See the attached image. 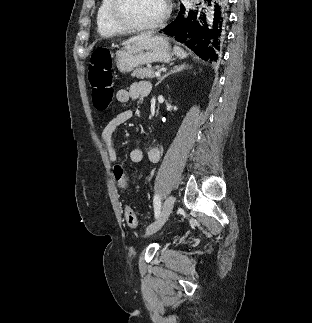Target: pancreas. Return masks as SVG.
I'll return each mask as SVG.
<instances>
[{
	"mask_svg": "<svg viewBox=\"0 0 312 323\" xmlns=\"http://www.w3.org/2000/svg\"><path fill=\"white\" fill-rule=\"evenodd\" d=\"M131 76L141 78V80H144V78H156L154 68H137Z\"/></svg>",
	"mask_w": 312,
	"mask_h": 323,
	"instance_id": "1",
	"label": "pancreas"
}]
</instances>
